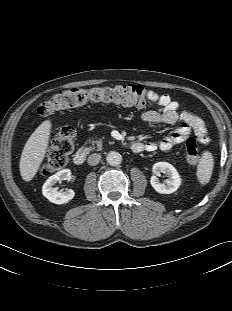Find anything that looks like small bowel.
<instances>
[{
    "instance_id": "small-bowel-1",
    "label": "small bowel",
    "mask_w": 232,
    "mask_h": 311,
    "mask_svg": "<svg viewBox=\"0 0 232 311\" xmlns=\"http://www.w3.org/2000/svg\"><path fill=\"white\" fill-rule=\"evenodd\" d=\"M147 96L149 101L156 103L159 108L142 112L141 119L145 123L152 128L162 123H180V125L161 141L144 144L145 150L170 152L174 146L185 142L191 134L195 135L202 144L208 142L204 122L197 114L187 110L181 111L178 102L167 94L148 90Z\"/></svg>"
}]
</instances>
